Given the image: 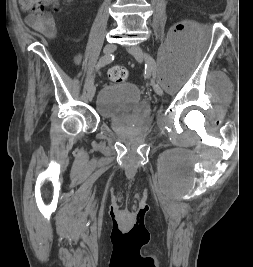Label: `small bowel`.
<instances>
[{
    "label": "small bowel",
    "mask_w": 253,
    "mask_h": 267,
    "mask_svg": "<svg viewBox=\"0 0 253 267\" xmlns=\"http://www.w3.org/2000/svg\"><path fill=\"white\" fill-rule=\"evenodd\" d=\"M26 24L49 40L56 38V27L53 16L50 13L42 15L30 14L26 17ZM81 59L82 55H77L75 62L79 64Z\"/></svg>",
    "instance_id": "c3829d8e"
}]
</instances>
